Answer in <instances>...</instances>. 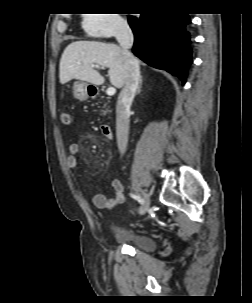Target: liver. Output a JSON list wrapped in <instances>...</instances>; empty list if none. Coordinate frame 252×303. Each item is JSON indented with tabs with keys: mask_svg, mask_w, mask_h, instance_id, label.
Returning <instances> with one entry per match:
<instances>
[{
	"mask_svg": "<svg viewBox=\"0 0 252 303\" xmlns=\"http://www.w3.org/2000/svg\"><path fill=\"white\" fill-rule=\"evenodd\" d=\"M93 64L109 68L112 85L117 88L124 86L126 70L122 49L115 44L97 41H75L66 47L59 65L60 83L77 79L102 85L104 78L94 69Z\"/></svg>",
	"mask_w": 252,
	"mask_h": 303,
	"instance_id": "liver-1",
	"label": "liver"
}]
</instances>
